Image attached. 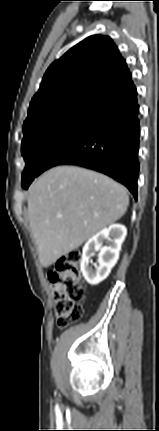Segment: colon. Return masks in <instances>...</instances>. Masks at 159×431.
<instances>
[{
  "label": "colon",
  "instance_id": "obj_1",
  "mask_svg": "<svg viewBox=\"0 0 159 431\" xmlns=\"http://www.w3.org/2000/svg\"><path fill=\"white\" fill-rule=\"evenodd\" d=\"M81 260L82 254L72 251L59 258L48 274L55 298L58 325L61 327L77 322L83 314L81 302L85 289L80 271Z\"/></svg>",
  "mask_w": 159,
  "mask_h": 431
}]
</instances>
